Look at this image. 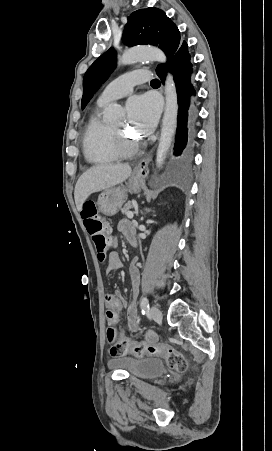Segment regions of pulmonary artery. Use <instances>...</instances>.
<instances>
[{"label": "pulmonary artery", "mask_w": 272, "mask_h": 451, "mask_svg": "<svg viewBox=\"0 0 272 451\" xmlns=\"http://www.w3.org/2000/svg\"><path fill=\"white\" fill-rule=\"evenodd\" d=\"M153 72L148 70L146 66H141L139 70L129 69L125 75H122L115 81L111 82L98 98V103L102 104L110 100H117L130 95L133 86L151 79Z\"/></svg>", "instance_id": "1"}]
</instances>
